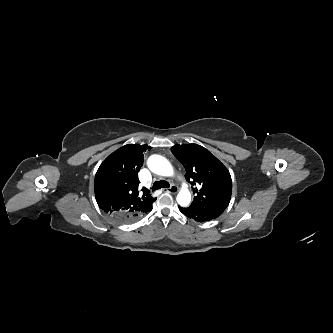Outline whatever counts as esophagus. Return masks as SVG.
I'll use <instances>...</instances> for the list:
<instances>
[{
	"label": "esophagus",
	"instance_id": "34e87169",
	"mask_svg": "<svg viewBox=\"0 0 333 333\" xmlns=\"http://www.w3.org/2000/svg\"><path fill=\"white\" fill-rule=\"evenodd\" d=\"M166 192H169V193H172V194H175L178 192V187L177 186H171L170 188L168 189H165Z\"/></svg>",
	"mask_w": 333,
	"mask_h": 333
}]
</instances>
